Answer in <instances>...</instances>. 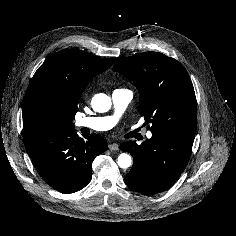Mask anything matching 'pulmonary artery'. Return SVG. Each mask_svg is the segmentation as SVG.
<instances>
[{"label":"pulmonary artery","instance_id":"e3ab8cb5","mask_svg":"<svg viewBox=\"0 0 236 236\" xmlns=\"http://www.w3.org/2000/svg\"><path fill=\"white\" fill-rule=\"evenodd\" d=\"M133 94L128 89H116L112 93V104L114 113L102 117H84L76 121L77 127H87L96 131H107L113 128L119 121L127 106L131 102ZM152 133L147 132V137L151 138Z\"/></svg>","mask_w":236,"mask_h":236}]
</instances>
